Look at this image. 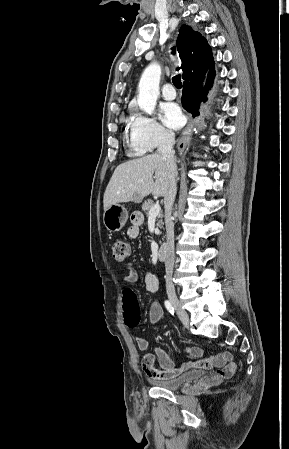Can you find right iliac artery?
I'll return each instance as SVG.
<instances>
[{
    "mask_svg": "<svg viewBox=\"0 0 289 449\" xmlns=\"http://www.w3.org/2000/svg\"><path fill=\"white\" fill-rule=\"evenodd\" d=\"M164 304H165L166 309L173 315L174 307L172 306V304L168 300H166Z\"/></svg>",
    "mask_w": 289,
    "mask_h": 449,
    "instance_id": "82829eb1",
    "label": "right iliac artery"
}]
</instances>
